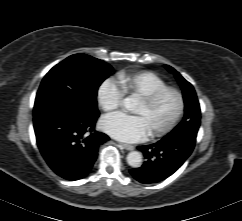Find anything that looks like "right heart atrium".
<instances>
[{
	"label": "right heart atrium",
	"instance_id": "right-heart-atrium-1",
	"mask_svg": "<svg viewBox=\"0 0 242 221\" xmlns=\"http://www.w3.org/2000/svg\"><path fill=\"white\" fill-rule=\"evenodd\" d=\"M124 99V92L114 79L104 80L97 88L96 100L105 112L117 109Z\"/></svg>",
	"mask_w": 242,
	"mask_h": 221
}]
</instances>
